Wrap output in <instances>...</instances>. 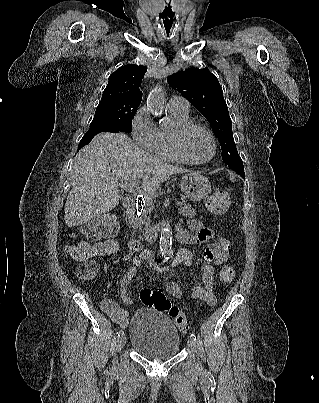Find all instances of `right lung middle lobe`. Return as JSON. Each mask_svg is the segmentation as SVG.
I'll list each match as a JSON object with an SVG mask.
<instances>
[{
  "label": "right lung middle lobe",
  "mask_w": 319,
  "mask_h": 403,
  "mask_svg": "<svg viewBox=\"0 0 319 403\" xmlns=\"http://www.w3.org/2000/svg\"><path fill=\"white\" fill-rule=\"evenodd\" d=\"M138 107L118 103H103L97 106L90 124L93 129H122L131 132L132 119Z\"/></svg>",
  "instance_id": "dd1d6c3e"
}]
</instances>
